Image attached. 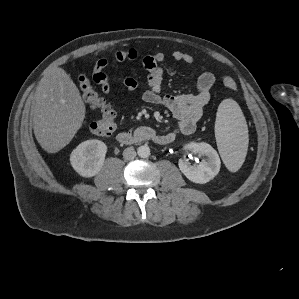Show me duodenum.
Masks as SVG:
<instances>
[{
  "instance_id": "duodenum-1",
  "label": "duodenum",
  "mask_w": 299,
  "mask_h": 299,
  "mask_svg": "<svg viewBox=\"0 0 299 299\" xmlns=\"http://www.w3.org/2000/svg\"><path fill=\"white\" fill-rule=\"evenodd\" d=\"M119 142L123 144H133L143 141H154L162 143V136L157 134L154 129L148 126L138 127L131 131H122L117 135Z\"/></svg>"
}]
</instances>
